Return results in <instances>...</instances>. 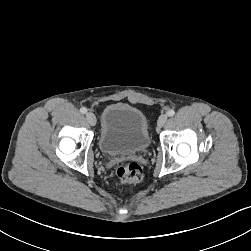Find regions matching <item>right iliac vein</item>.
<instances>
[{
	"mask_svg": "<svg viewBox=\"0 0 251 251\" xmlns=\"http://www.w3.org/2000/svg\"><path fill=\"white\" fill-rule=\"evenodd\" d=\"M86 120L92 126H94L96 124V117L92 112H88L86 114Z\"/></svg>",
	"mask_w": 251,
	"mask_h": 251,
	"instance_id": "right-iliac-vein-1",
	"label": "right iliac vein"
}]
</instances>
